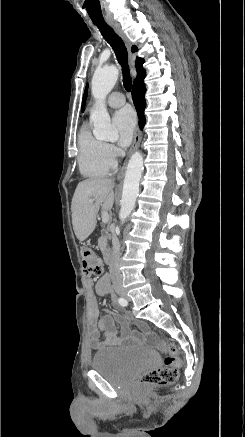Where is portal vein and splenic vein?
<instances>
[{"mask_svg":"<svg viewBox=\"0 0 245 437\" xmlns=\"http://www.w3.org/2000/svg\"><path fill=\"white\" fill-rule=\"evenodd\" d=\"M89 202L92 203L93 199H89ZM101 216H102V221L104 223H107L109 221L110 216H109L108 212L103 211Z\"/></svg>","mask_w":245,"mask_h":437,"instance_id":"1","label":"portal vein and splenic vein"}]
</instances>
